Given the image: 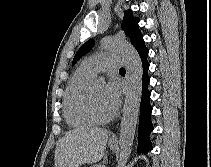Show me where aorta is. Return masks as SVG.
I'll return each mask as SVG.
<instances>
[{"label":"aorta","mask_w":211,"mask_h":167,"mask_svg":"<svg viewBox=\"0 0 211 167\" xmlns=\"http://www.w3.org/2000/svg\"><path fill=\"white\" fill-rule=\"evenodd\" d=\"M101 48L119 53L126 67L128 87L120 125V153L118 156V164L120 167H123L131 153L138 121L142 90V62L136 49L123 39L105 37L101 40ZM103 81V78L98 79V82Z\"/></svg>","instance_id":"762f6f07"}]
</instances>
